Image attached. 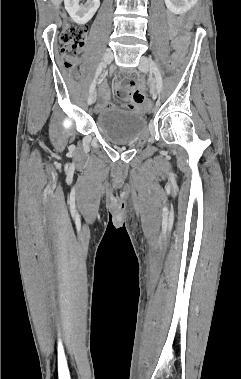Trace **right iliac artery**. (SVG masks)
<instances>
[{
	"label": "right iliac artery",
	"instance_id": "right-iliac-artery-1",
	"mask_svg": "<svg viewBox=\"0 0 241 379\" xmlns=\"http://www.w3.org/2000/svg\"><path fill=\"white\" fill-rule=\"evenodd\" d=\"M105 67V64L102 62L98 65L97 67V70H96V75H95V78L90 86V89H89V92L90 94H92L95 90V85H96V79L97 77L100 75V73L102 72L103 68Z\"/></svg>",
	"mask_w": 241,
	"mask_h": 379
}]
</instances>
